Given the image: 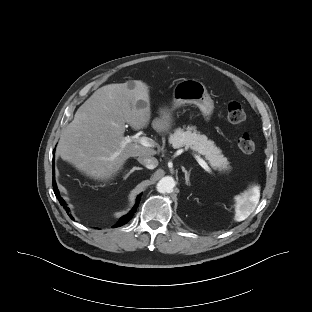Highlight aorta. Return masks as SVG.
I'll return each instance as SVG.
<instances>
[{"mask_svg":"<svg viewBox=\"0 0 312 312\" xmlns=\"http://www.w3.org/2000/svg\"><path fill=\"white\" fill-rule=\"evenodd\" d=\"M174 186V179L171 176H166L158 181L156 188L159 193H170Z\"/></svg>","mask_w":312,"mask_h":312,"instance_id":"obj_1","label":"aorta"}]
</instances>
